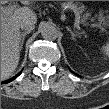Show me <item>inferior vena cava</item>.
<instances>
[{
  "mask_svg": "<svg viewBox=\"0 0 109 109\" xmlns=\"http://www.w3.org/2000/svg\"><path fill=\"white\" fill-rule=\"evenodd\" d=\"M34 23L30 22V21H24L20 24V28L22 30H25L26 32H30L34 29Z\"/></svg>",
  "mask_w": 109,
  "mask_h": 109,
  "instance_id": "inferior-vena-cava-1",
  "label": "inferior vena cava"
}]
</instances>
